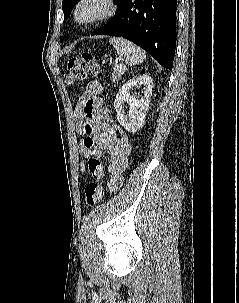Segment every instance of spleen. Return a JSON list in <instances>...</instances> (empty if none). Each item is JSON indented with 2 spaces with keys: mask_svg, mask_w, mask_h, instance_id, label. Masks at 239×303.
Returning <instances> with one entry per match:
<instances>
[{
  "mask_svg": "<svg viewBox=\"0 0 239 303\" xmlns=\"http://www.w3.org/2000/svg\"><path fill=\"white\" fill-rule=\"evenodd\" d=\"M109 42L113 45L118 55L124 58L125 62L130 66L139 65L146 58L145 51L131 41L113 37L109 39Z\"/></svg>",
  "mask_w": 239,
  "mask_h": 303,
  "instance_id": "obj_1",
  "label": "spleen"
}]
</instances>
